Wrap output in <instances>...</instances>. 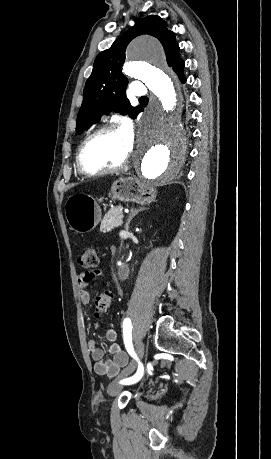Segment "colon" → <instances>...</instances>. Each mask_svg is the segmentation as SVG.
I'll return each mask as SVG.
<instances>
[{
  "label": "colon",
  "instance_id": "1",
  "mask_svg": "<svg viewBox=\"0 0 271 459\" xmlns=\"http://www.w3.org/2000/svg\"><path fill=\"white\" fill-rule=\"evenodd\" d=\"M78 263L86 270L98 268L99 257L96 250L92 247H86L78 258ZM113 295L111 292L105 291L96 296L95 299V315L100 317L108 311L111 306Z\"/></svg>",
  "mask_w": 271,
  "mask_h": 459
}]
</instances>
